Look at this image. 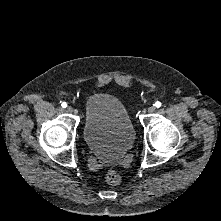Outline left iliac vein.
<instances>
[{
	"instance_id": "4c4485c4",
	"label": "left iliac vein",
	"mask_w": 221,
	"mask_h": 221,
	"mask_svg": "<svg viewBox=\"0 0 221 221\" xmlns=\"http://www.w3.org/2000/svg\"><path fill=\"white\" fill-rule=\"evenodd\" d=\"M155 110H156V108H155L154 106H150V107L148 108V112H149V113H154Z\"/></svg>"
}]
</instances>
